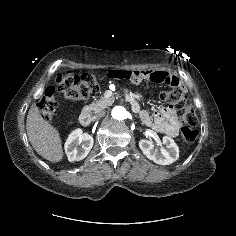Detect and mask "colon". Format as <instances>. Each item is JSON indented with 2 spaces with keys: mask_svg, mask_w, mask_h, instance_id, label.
Here are the masks:
<instances>
[{
  "mask_svg": "<svg viewBox=\"0 0 236 236\" xmlns=\"http://www.w3.org/2000/svg\"><path fill=\"white\" fill-rule=\"evenodd\" d=\"M55 82L57 90L70 101L87 99L91 94L99 90L96 77L90 73L76 74L70 71L59 73ZM184 97V91L180 86H173L160 94V99L175 106L178 117L187 124L181 130L183 139L187 143H193L198 136V131L195 129L198 123V116L194 106L189 102H185ZM38 109L46 120L53 119L57 114L58 103L53 86H49L44 90L38 102Z\"/></svg>",
  "mask_w": 236,
  "mask_h": 236,
  "instance_id": "1",
  "label": "colon"
}]
</instances>
